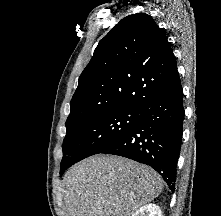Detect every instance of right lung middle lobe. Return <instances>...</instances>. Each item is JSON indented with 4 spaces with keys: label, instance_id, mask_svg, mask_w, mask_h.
<instances>
[{
    "label": "right lung middle lobe",
    "instance_id": "right-lung-middle-lobe-1",
    "mask_svg": "<svg viewBox=\"0 0 221 216\" xmlns=\"http://www.w3.org/2000/svg\"><path fill=\"white\" fill-rule=\"evenodd\" d=\"M139 112L138 107L117 108L66 126L60 174L74 163L101 153L121 139L135 126Z\"/></svg>",
    "mask_w": 221,
    "mask_h": 216
}]
</instances>
